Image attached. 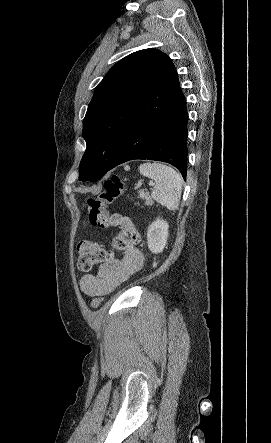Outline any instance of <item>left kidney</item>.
Masks as SVG:
<instances>
[{"label":"left kidney","instance_id":"left-kidney-1","mask_svg":"<svg viewBox=\"0 0 271 443\" xmlns=\"http://www.w3.org/2000/svg\"><path fill=\"white\" fill-rule=\"evenodd\" d=\"M168 223L157 218L156 222L151 223L148 227L147 243L152 253H160L163 251L168 237Z\"/></svg>","mask_w":271,"mask_h":443}]
</instances>
